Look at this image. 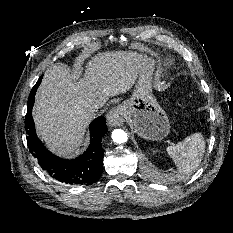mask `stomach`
<instances>
[{
	"label": "stomach",
	"instance_id": "0dacf381",
	"mask_svg": "<svg viewBox=\"0 0 233 233\" xmlns=\"http://www.w3.org/2000/svg\"><path fill=\"white\" fill-rule=\"evenodd\" d=\"M151 59H145V66L139 72L130 98L122 109L125 118L131 123L135 133L141 138L159 141L170 132L168 116L152 93Z\"/></svg>",
	"mask_w": 233,
	"mask_h": 233
}]
</instances>
